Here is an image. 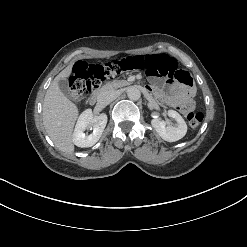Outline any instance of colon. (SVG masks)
<instances>
[{"label": "colon", "instance_id": "colon-1", "mask_svg": "<svg viewBox=\"0 0 247 247\" xmlns=\"http://www.w3.org/2000/svg\"><path fill=\"white\" fill-rule=\"evenodd\" d=\"M147 68L161 69L168 72L169 77L192 86V79L188 72L179 69L176 60L166 54L130 56L105 63L77 62L70 77L71 95L78 99L97 88L104 80L123 72ZM191 129L199 127L203 121L201 112H190L187 115Z\"/></svg>", "mask_w": 247, "mask_h": 247}]
</instances>
